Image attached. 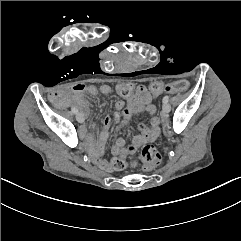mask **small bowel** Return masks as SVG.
<instances>
[{"label": "small bowel", "mask_w": 241, "mask_h": 241, "mask_svg": "<svg viewBox=\"0 0 241 241\" xmlns=\"http://www.w3.org/2000/svg\"><path fill=\"white\" fill-rule=\"evenodd\" d=\"M161 83V82H160ZM89 94L91 96H96L97 94L110 95L112 93V88L108 84H102L99 87L95 85H84L75 84L69 89H65L58 93H50L48 97L51 99L53 97L57 98L58 103H66L73 99L75 101L78 109L87 113L89 108L88 101L83 97V94ZM74 95V96H71ZM159 96L152 95L148 91L145 94L135 93L131 99H127V104L119 101L116 103V107L122 110V120L121 123L115 128V133H119L122 128L127 125L133 113L147 112L151 118L149 125L144 123H139L137 125L140 134L134 137L129 145L126 146L125 140L118 138L115 144L111 148V153L121 159H126L128 155L136 152L142 145L146 143L154 142L160 135V118L157 115V107L153 104L152 99ZM111 120L109 117L103 119V126L99 133V138L97 141L93 140V136L87 130H82L83 136H85L90 141V145L93 147L94 162L101 168H109V163L107 160L100 158L98 155L103 151L105 143L109 136Z\"/></svg>", "instance_id": "small-bowel-1"}]
</instances>
